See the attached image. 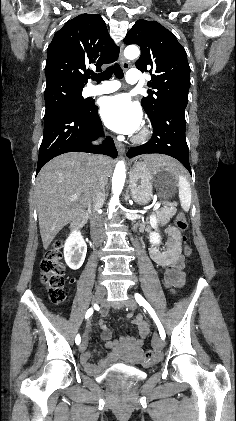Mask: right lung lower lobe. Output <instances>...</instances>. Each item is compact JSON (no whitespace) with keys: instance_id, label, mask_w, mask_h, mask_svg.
I'll use <instances>...</instances> for the list:
<instances>
[{"instance_id":"1","label":"right lung lower lobe","mask_w":236,"mask_h":421,"mask_svg":"<svg viewBox=\"0 0 236 421\" xmlns=\"http://www.w3.org/2000/svg\"><path fill=\"white\" fill-rule=\"evenodd\" d=\"M102 135L98 107L93 102L81 111L62 108L45 114L36 174L49 160L67 152H90L116 158L118 152L111 137H107L102 145L91 144Z\"/></svg>"}]
</instances>
